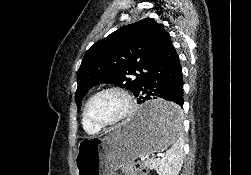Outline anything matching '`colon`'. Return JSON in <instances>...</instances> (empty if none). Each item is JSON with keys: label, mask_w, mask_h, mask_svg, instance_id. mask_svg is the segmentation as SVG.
<instances>
[{"label": "colon", "mask_w": 251, "mask_h": 175, "mask_svg": "<svg viewBox=\"0 0 251 175\" xmlns=\"http://www.w3.org/2000/svg\"><path fill=\"white\" fill-rule=\"evenodd\" d=\"M123 175H146V168L137 160L129 161L122 167Z\"/></svg>", "instance_id": "1"}]
</instances>
